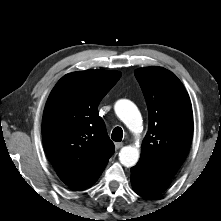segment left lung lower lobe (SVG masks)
<instances>
[{"instance_id":"obj_1","label":"left lung lower lobe","mask_w":221,"mask_h":221,"mask_svg":"<svg viewBox=\"0 0 221 221\" xmlns=\"http://www.w3.org/2000/svg\"><path fill=\"white\" fill-rule=\"evenodd\" d=\"M171 179V177L159 173L140 161L131 168L133 189L143 197H153L161 194L168 188Z\"/></svg>"}]
</instances>
